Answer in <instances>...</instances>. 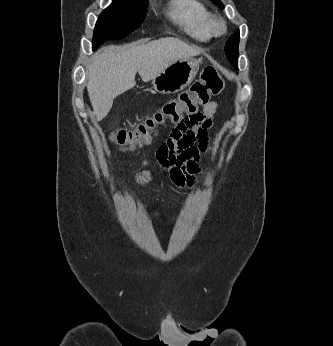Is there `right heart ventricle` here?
I'll use <instances>...</instances> for the list:
<instances>
[{"label":"right heart ventricle","instance_id":"obj_1","mask_svg":"<svg viewBox=\"0 0 333 346\" xmlns=\"http://www.w3.org/2000/svg\"><path fill=\"white\" fill-rule=\"evenodd\" d=\"M168 13L190 37L198 41L212 37L214 16L202 0H171Z\"/></svg>","mask_w":333,"mask_h":346}]
</instances>
